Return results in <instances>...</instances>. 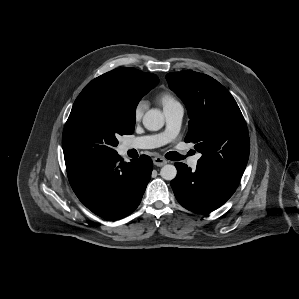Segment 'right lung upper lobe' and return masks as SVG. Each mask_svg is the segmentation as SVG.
Returning <instances> with one entry per match:
<instances>
[{"label":"right lung upper lobe","instance_id":"cb5924a9","mask_svg":"<svg viewBox=\"0 0 299 299\" xmlns=\"http://www.w3.org/2000/svg\"><path fill=\"white\" fill-rule=\"evenodd\" d=\"M159 82L158 77L134 68H119L107 72L90 83H98L111 87L124 96L127 105L136 108L139 100Z\"/></svg>","mask_w":299,"mask_h":299}]
</instances>
